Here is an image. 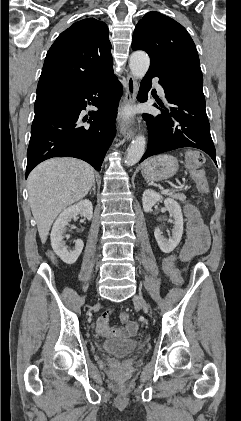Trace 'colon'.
<instances>
[{"instance_id": "obj_1", "label": "colon", "mask_w": 241, "mask_h": 421, "mask_svg": "<svg viewBox=\"0 0 241 421\" xmlns=\"http://www.w3.org/2000/svg\"><path fill=\"white\" fill-rule=\"evenodd\" d=\"M51 1V0H48ZM204 163V156L199 151H190L186 155V165L190 170L192 178L195 180L198 190L205 194L208 191V182L206 175L201 166ZM178 259L177 255H172L165 259L164 268L168 275L170 276L173 283L176 285L182 284V274L181 271L176 267L175 263ZM120 320L122 323L130 322V317L128 313L123 312L120 314Z\"/></svg>"}]
</instances>
